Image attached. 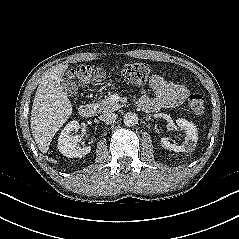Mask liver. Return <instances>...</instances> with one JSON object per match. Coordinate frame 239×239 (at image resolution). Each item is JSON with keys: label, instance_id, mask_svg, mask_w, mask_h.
Instances as JSON below:
<instances>
[{"label": "liver", "instance_id": "6515ba94", "mask_svg": "<svg viewBox=\"0 0 239 239\" xmlns=\"http://www.w3.org/2000/svg\"><path fill=\"white\" fill-rule=\"evenodd\" d=\"M68 64L50 68L39 82L31 111V131L42 153L49 149L55 133L72 114V105L61 87V80Z\"/></svg>", "mask_w": 239, "mask_h": 239}]
</instances>
